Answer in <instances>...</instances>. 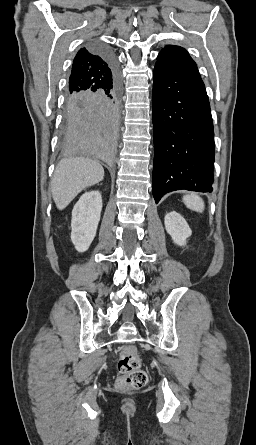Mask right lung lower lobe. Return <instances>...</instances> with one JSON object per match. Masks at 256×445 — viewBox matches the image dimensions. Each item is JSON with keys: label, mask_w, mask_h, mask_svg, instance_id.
I'll return each mask as SVG.
<instances>
[{"label": "right lung lower lobe", "mask_w": 256, "mask_h": 445, "mask_svg": "<svg viewBox=\"0 0 256 445\" xmlns=\"http://www.w3.org/2000/svg\"><path fill=\"white\" fill-rule=\"evenodd\" d=\"M108 62L111 78L102 88L66 99L64 146L74 155L112 164L120 119V79L113 52L92 44Z\"/></svg>", "instance_id": "98d812e1"}]
</instances>
